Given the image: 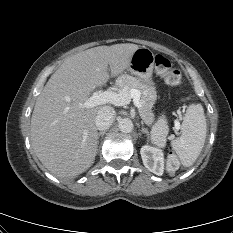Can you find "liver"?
I'll list each match as a JSON object with an SVG mask.
<instances>
[{
  "instance_id": "obj_1",
  "label": "liver",
  "mask_w": 233,
  "mask_h": 233,
  "mask_svg": "<svg viewBox=\"0 0 233 233\" xmlns=\"http://www.w3.org/2000/svg\"><path fill=\"white\" fill-rule=\"evenodd\" d=\"M138 48L125 43L77 53L66 58L46 83L31 117V141L40 162L56 177L74 178L94 163L95 120L104 106L82 104L96 87L127 70Z\"/></svg>"
}]
</instances>
